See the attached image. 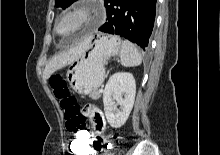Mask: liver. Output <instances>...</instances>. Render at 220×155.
I'll list each match as a JSON object with an SVG mask.
<instances>
[{
  "mask_svg": "<svg viewBox=\"0 0 220 155\" xmlns=\"http://www.w3.org/2000/svg\"><path fill=\"white\" fill-rule=\"evenodd\" d=\"M88 45L89 43L88 41H86L78 46L63 51L52 58V60H50L45 67V70L43 72V79L46 81L55 71L76 61L83 54Z\"/></svg>",
  "mask_w": 220,
  "mask_h": 155,
  "instance_id": "1",
  "label": "liver"
}]
</instances>
